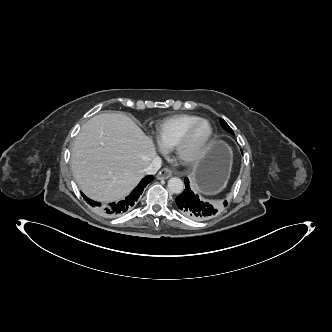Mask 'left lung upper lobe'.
I'll return each mask as SVG.
<instances>
[{
  "instance_id": "5c2ea615",
  "label": "left lung upper lobe",
  "mask_w": 332,
  "mask_h": 332,
  "mask_svg": "<svg viewBox=\"0 0 332 332\" xmlns=\"http://www.w3.org/2000/svg\"><path fill=\"white\" fill-rule=\"evenodd\" d=\"M220 123L222 125V127L229 133L231 134H234V132L232 131V129L229 127V125L223 120L220 118Z\"/></svg>"
}]
</instances>
